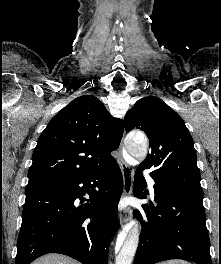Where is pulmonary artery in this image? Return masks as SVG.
Returning a JSON list of instances; mask_svg holds the SVG:
<instances>
[{
  "label": "pulmonary artery",
  "instance_id": "e3ab8cb5",
  "mask_svg": "<svg viewBox=\"0 0 221 264\" xmlns=\"http://www.w3.org/2000/svg\"><path fill=\"white\" fill-rule=\"evenodd\" d=\"M148 181H149L150 190H151L152 194H154V189H153L154 181L149 176H148Z\"/></svg>",
  "mask_w": 221,
  "mask_h": 264
}]
</instances>
